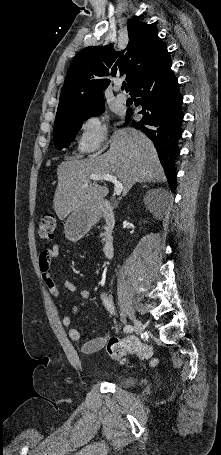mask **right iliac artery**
Here are the masks:
<instances>
[{"label": "right iliac artery", "mask_w": 221, "mask_h": 455, "mask_svg": "<svg viewBox=\"0 0 221 455\" xmlns=\"http://www.w3.org/2000/svg\"><path fill=\"white\" fill-rule=\"evenodd\" d=\"M101 299H102L105 307L107 308V310L111 314L114 313V306H113L112 300L106 294H102L101 295ZM132 331H133V327L131 325H126L124 327V332L129 333V332H132Z\"/></svg>", "instance_id": "right-iliac-artery-1"}]
</instances>
